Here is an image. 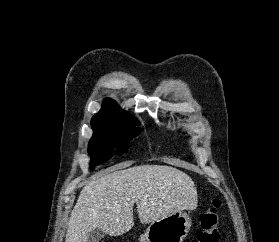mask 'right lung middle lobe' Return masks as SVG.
<instances>
[{"label": "right lung middle lobe", "instance_id": "right-lung-middle-lobe-1", "mask_svg": "<svg viewBox=\"0 0 279 242\" xmlns=\"http://www.w3.org/2000/svg\"><path fill=\"white\" fill-rule=\"evenodd\" d=\"M93 136L89 141L90 168L109 160L113 155L123 154L129 145V137L138 135L141 129L135 125H115L108 122L91 123Z\"/></svg>", "mask_w": 279, "mask_h": 242}]
</instances>
